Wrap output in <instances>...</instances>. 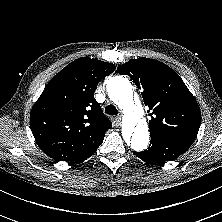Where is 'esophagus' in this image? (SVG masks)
I'll use <instances>...</instances> for the list:
<instances>
[{"instance_id": "esophagus-1", "label": "esophagus", "mask_w": 222, "mask_h": 222, "mask_svg": "<svg viewBox=\"0 0 222 222\" xmlns=\"http://www.w3.org/2000/svg\"><path fill=\"white\" fill-rule=\"evenodd\" d=\"M121 119H122L121 116H118V117L115 118V123H116L117 126L120 125V123H121Z\"/></svg>"}]
</instances>
